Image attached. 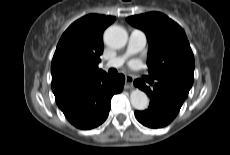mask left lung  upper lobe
<instances>
[{
    "mask_svg": "<svg viewBox=\"0 0 230 155\" xmlns=\"http://www.w3.org/2000/svg\"><path fill=\"white\" fill-rule=\"evenodd\" d=\"M126 20L147 36L150 77L189 93L194 81V55L184 30L160 12L134 15Z\"/></svg>",
    "mask_w": 230,
    "mask_h": 155,
    "instance_id": "5c2ea615",
    "label": "left lung upper lobe"
}]
</instances>
